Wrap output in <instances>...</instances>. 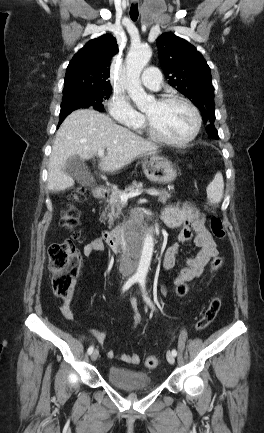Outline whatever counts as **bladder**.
<instances>
[{"instance_id":"obj_1","label":"bladder","mask_w":264,"mask_h":433,"mask_svg":"<svg viewBox=\"0 0 264 433\" xmlns=\"http://www.w3.org/2000/svg\"><path fill=\"white\" fill-rule=\"evenodd\" d=\"M107 378L114 386L130 391H148L154 386L151 375L146 372L111 366Z\"/></svg>"}]
</instances>
